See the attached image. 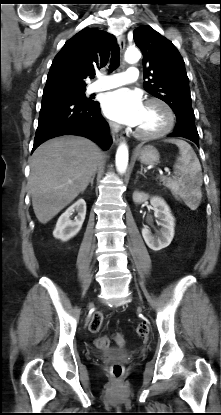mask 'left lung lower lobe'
<instances>
[{
  "mask_svg": "<svg viewBox=\"0 0 221 415\" xmlns=\"http://www.w3.org/2000/svg\"><path fill=\"white\" fill-rule=\"evenodd\" d=\"M168 137H183L199 146V135L195 126V116L184 115L178 117L175 130Z\"/></svg>",
  "mask_w": 221,
  "mask_h": 415,
  "instance_id": "left-lung-lower-lobe-1",
  "label": "left lung lower lobe"
}]
</instances>
